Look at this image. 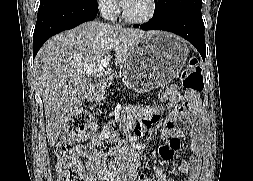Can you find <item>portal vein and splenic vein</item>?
<instances>
[{
	"mask_svg": "<svg viewBox=\"0 0 253 181\" xmlns=\"http://www.w3.org/2000/svg\"><path fill=\"white\" fill-rule=\"evenodd\" d=\"M110 58H104L98 61L97 64L86 65L83 68V72L87 75L100 74L102 75L105 68L109 65Z\"/></svg>",
	"mask_w": 253,
	"mask_h": 181,
	"instance_id": "18ae733b",
	"label": "portal vein and splenic vein"
}]
</instances>
